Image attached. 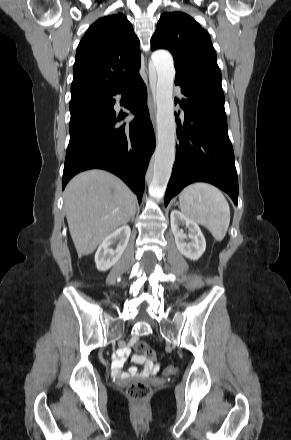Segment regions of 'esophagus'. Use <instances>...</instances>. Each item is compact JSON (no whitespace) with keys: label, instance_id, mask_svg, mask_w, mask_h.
<instances>
[{"label":"esophagus","instance_id":"34e87169","mask_svg":"<svg viewBox=\"0 0 291 440\" xmlns=\"http://www.w3.org/2000/svg\"><path fill=\"white\" fill-rule=\"evenodd\" d=\"M148 109H149V113H150V118H151L152 122L154 123V104H153V100H152L150 93L148 94Z\"/></svg>","mask_w":291,"mask_h":440}]
</instances>
